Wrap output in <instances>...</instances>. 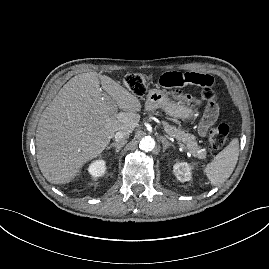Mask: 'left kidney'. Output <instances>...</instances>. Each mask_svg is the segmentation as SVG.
<instances>
[{
    "label": "left kidney",
    "mask_w": 269,
    "mask_h": 269,
    "mask_svg": "<svg viewBox=\"0 0 269 269\" xmlns=\"http://www.w3.org/2000/svg\"><path fill=\"white\" fill-rule=\"evenodd\" d=\"M191 166L187 162H177L173 166V172L180 182L190 181L192 177Z\"/></svg>",
    "instance_id": "obj_1"
}]
</instances>
